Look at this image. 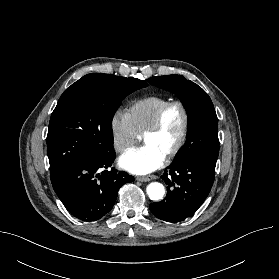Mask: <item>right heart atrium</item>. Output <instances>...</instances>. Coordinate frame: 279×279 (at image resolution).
<instances>
[{
  "label": "right heart atrium",
  "mask_w": 279,
  "mask_h": 279,
  "mask_svg": "<svg viewBox=\"0 0 279 279\" xmlns=\"http://www.w3.org/2000/svg\"><path fill=\"white\" fill-rule=\"evenodd\" d=\"M110 131L113 145L119 153L128 151L140 139V134L135 129L128 114L120 110L111 117Z\"/></svg>",
  "instance_id": "1"
}]
</instances>
